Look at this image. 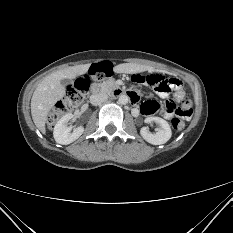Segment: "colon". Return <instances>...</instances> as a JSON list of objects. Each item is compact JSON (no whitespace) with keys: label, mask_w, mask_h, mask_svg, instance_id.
Masks as SVG:
<instances>
[{"label":"colon","mask_w":233,"mask_h":233,"mask_svg":"<svg viewBox=\"0 0 233 233\" xmlns=\"http://www.w3.org/2000/svg\"><path fill=\"white\" fill-rule=\"evenodd\" d=\"M111 72V66L107 63H103L93 66L86 75L78 78L74 84L67 89L65 96L56 103L54 109L49 114L47 120L48 126L53 127L66 112L78 106L83 101L85 94L89 90L92 79L101 80L109 76ZM131 79L135 83H146L154 87L157 91H169L175 83L172 79H167L157 74L145 76L134 74ZM179 103L180 105L170 102L165 106L176 113V116L171 120V124L173 129L177 131L185 127L186 120L192 115V104L188 98ZM149 107L155 113L161 109V104L156 101H151Z\"/></svg>","instance_id":"colon-1"}]
</instances>
